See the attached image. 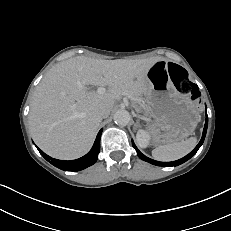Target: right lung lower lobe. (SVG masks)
I'll return each instance as SVG.
<instances>
[{
  "instance_id": "1",
  "label": "right lung lower lobe",
  "mask_w": 231,
  "mask_h": 231,
  "mask_svg": "<svg viewBox=\"0 0 231 231\" xmlns=\"http://www.w3.org/2000/svg\"><path fill=\"white\" fill-rule=\"evenodd\" d=\"M102 129L99 131L96 140L94 142L93 147L91 150L83 157L72 160V161H63L58 159H52L50 156L45 154L42 150L37 148L40 154L47 160L50 161L52 165L55 167L64 170V171H80L83 170L91 165H93L98 158V154L100 151V137H101Z\"/></svg>"
}]
</instances>
